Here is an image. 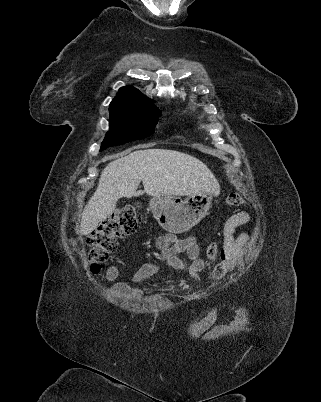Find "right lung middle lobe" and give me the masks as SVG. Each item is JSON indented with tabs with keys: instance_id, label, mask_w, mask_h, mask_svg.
Returning a JSON list of instances; mask_svg holds the SVG:
<instances>
[{
	"instance_id": "right-lung-middle-lobe-1",
	"label": "right lung middle lobe",
	"mask_w": 321,
	"mask_h": 402,
	"mask_svg": "<svg viewBox=\"0 0 321 402\" xmlns=\"http://www.w3.org/2000/svg\"><path fill=\"white\" fill-rule=\"evenodd\" d=\"M110 130L102 142L101 151L109 146L121 145L141 139L154 132L160 111L157 108L138 107L125 104L109 106Z\"/></svg>"
}]
</instances>
